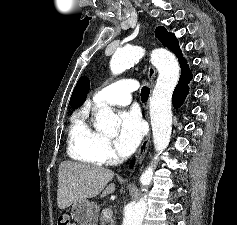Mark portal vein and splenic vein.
<instances>
[{
    "mask_svg": "<svg viewBox=\"0 0 237 225\" xmlns=\"http://www.w3.org/2000/svg\"><path fill=\"white\" fill-rule=\"evenodd\" d=\"M102 212L105 218L112 217V210L110 208H105Z\"/></svg>",
    "mask_w": 237,
    "mask_h": 225,
    "instance_id": "portal-vein-and-splenic-vein-1",
    "label": "portal vein and splenic vein"
}]
</instances>
